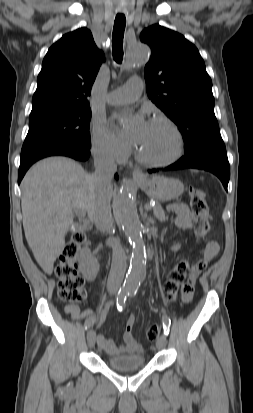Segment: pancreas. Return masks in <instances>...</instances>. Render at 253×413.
Masks as SVG:
<instances>
[{
  "label": "pancreas",
  "instance_id": "1",
  "mask_svg": "<svg viewBox=\"0 0 253 413\" xmlns=\"http://www.w3.org/2000/svg\"><path fill=\"white\" fill-rule=\"evenodd\" d=\"M153 214L160 221H165L168 219L160 204H156V206L153 207Z\"/></svg>",
  "mask_w": 253,
  "mask_h": 413
}]
</instances>
